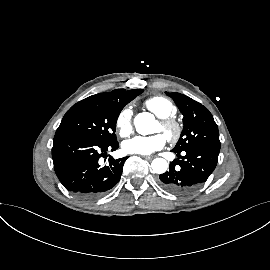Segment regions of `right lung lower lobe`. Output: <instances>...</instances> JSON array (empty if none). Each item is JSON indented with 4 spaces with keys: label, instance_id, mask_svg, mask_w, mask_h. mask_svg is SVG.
<instances>
[{
    "label": "right lung lower lobe",
    "instance_id": "98d812e1",
    "mask_svg": "<svg viewBox=\"0 0 270 270\" xmlns=\"http://www.w3.org/2000/svg\"><path fill=\"white\" fill-rule=\"evenodd\" d=\"M117 141L103 144L75 135H55L52 158L57 177L63 186L83 199H92L111 189L119 180L125 160L110 157L105 165L99 161L108 149L118 148Z\"/></svg>",
    "mask_w": 270,
    "mask_h": 270
}]
</instances>
